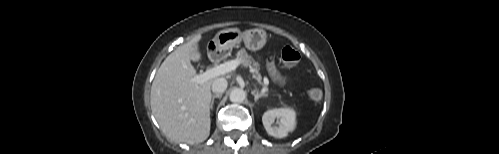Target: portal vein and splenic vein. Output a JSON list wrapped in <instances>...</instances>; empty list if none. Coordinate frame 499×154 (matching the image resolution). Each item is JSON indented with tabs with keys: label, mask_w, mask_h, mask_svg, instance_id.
I'll return each mask as SVG.
<instances>
[{
	"label": "portal vein and splenic vein",
	"mask_w": 499,
	"mask_h": 154,
	"mask_svg": "<svg viewBox=\"0 0 499 154\" xmlns=\"http://www.w3.org/2000/svg\"><path fill=\"white\" fill-rule=\"evenodd\" d=\"M240 64V61L238 59L227 61L223 64H220L214 68L207 69L205 72L198 74L191 78L192 82H195L197 84H202L207 82L208 80H211L215 77H218L220 75H224L226 73H229L237 68V66ZM265 85L268 84V79H264ZM265 91L266 88H263Z\"/></svg>",
	"instance_id": "1"
}]
</instances>
